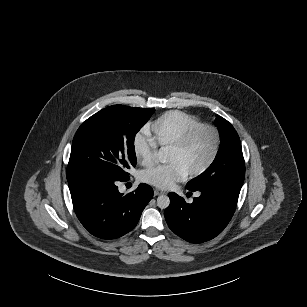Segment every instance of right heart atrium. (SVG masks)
<instances>
[{
    "label": "right heart atrium",
    "mask_w": 307,
    "mask_h": 307,
    "mask_svg": "<svg viewBox=\"0 0 307 307\" xmlns=\"http://www.w3.org/2000/svg\"><path fill=\"white\" fill-rule=\"evenodd\" d=\"M133 154L135 160L143 165H152L157 156L158 147L146 136H140L133 141Z\"/></svg>",
    "instance_id": "d8ad5b80"
}]
</instances>
